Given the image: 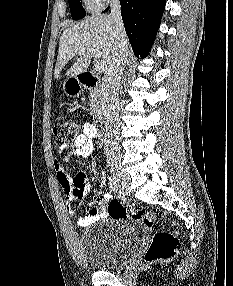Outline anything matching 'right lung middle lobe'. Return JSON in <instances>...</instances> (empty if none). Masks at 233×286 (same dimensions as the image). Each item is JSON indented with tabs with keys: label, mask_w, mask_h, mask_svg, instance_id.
<instances>
[{
	"label": "right lung middle lobe",
	"mask_w": 233,
	"mask_h": 286,
	"mask_svg": "<svg viewBox=\"0 0 233 286\" xmlns=\"http://www.w3.org/2000/svg\"><path fill=\"white\" fill-rule=\"evenodd\" d=\"M69 7L71 11V16L74 20L81 19L85 17L86 12L80 2V0H68Z\"/></svg>",
	"instance_id": "1"
}]
</instances>
